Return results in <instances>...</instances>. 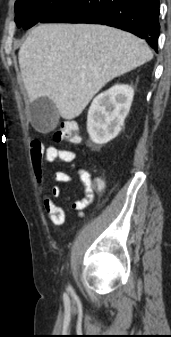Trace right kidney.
I'll return each mask as SVG.
<instances>
[{"mask_svg":"<svg viewBox=\"0 0 171 337\" xmlns=\"http://www.w3.org/2000/svg\"><path fill=\"white\" fill-rule=\"evenodd\" d=\"M134 96V89L117 84L96 96L89 108L87 131L96 144H105L121 131Z\"/></svg>","mask_w":171,"mask_h":337,"instance_id":"ca27d5eb","label":"right kidney"}]
</instances>
